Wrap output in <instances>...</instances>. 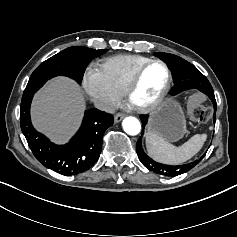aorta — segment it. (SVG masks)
<instances>
[{
	"mask_svg": "<svg viewBox=\"0 0 237 237\" xmlns=\"http://www.w3.org/2000/svg\"><path fill=\"white\" fill-rule=\"evenodd\" d=\"M123 130L129 135H137L141 130V124L135 117H126L122 122Z\"/></svg>",
	"mask_w": 237,
	"mask_h": 237,
	"instance_id": "aorta-1",
	"label": "aorta"
}]
</instances>
